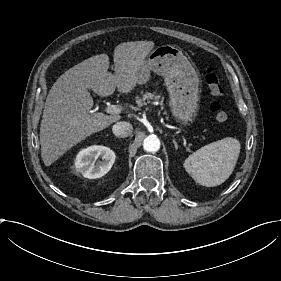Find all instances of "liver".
<instances>
[{
	"mask_svg": "<svg viewBox=\"0 0 281 281\" xmlns=\"http://www.w3.org/2000/svg\"><path fill=\"white\" fill-rule=\"evenodd\" d=\"M152 41L121 43L114 49V71L108 72L109 57H90L62 74L51 87L40 124L41 157L50 166L67 150L120 120V115L90 113L93 99L88 89L101 97L116 88L129 93L137 85L136 73L153 49Z\"/></svg>",
	"mask_w": 281,
	"mask_h": 281,
	"instance_id": "6515ba94",
	"label": "liver"
}]
</instances>
